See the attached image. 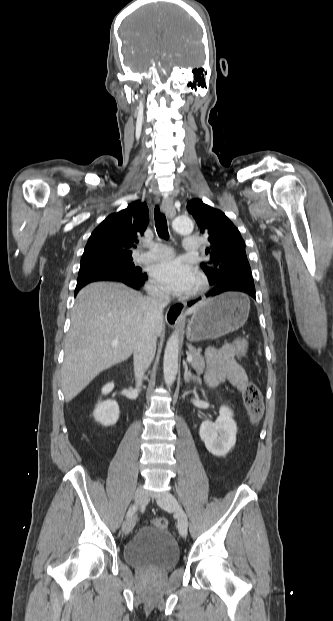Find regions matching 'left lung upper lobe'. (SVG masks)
Listing matches in <instances>:
<instances>
[{"instance_id": "5c2ea615", "label": "left lung upper lobe", "mask_w": 333, "mask_h": 621, "mask_svg": "<svg viewBox=\"0 0 333 621\" xmlns=\"http://www.w3.org/2000/svg\"><path fill=\"white\" fill-rule=\"evenodd\" d=\"M188 212L194 217L202 233L209 235L208 261L200 267L214 287L230 279L253 281L246 257L245 243L235 225L220 210L210 207L200 199L187 203Z\"/></svg>"}]
</instances>
